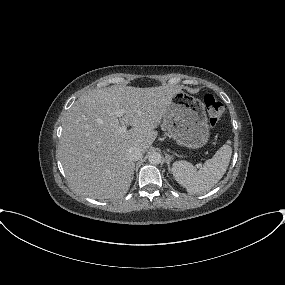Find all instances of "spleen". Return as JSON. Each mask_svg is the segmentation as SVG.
I'll return each mask as SVG.
<instances>
[{"mask_svg": "<svg viewBox=\"0 0 285 285\" xmlns=\"http://www.w3.org/2000/svg\"><path fill=\"white\" fill-rule=\"evenodd\" d=\"M231 155L232 148L230 141H227L198 171L189 162L178 161L173 164L172 173L189 194H203L210 191L223 177Z\"/></svg>", "mask_w": 285, "mask_h": 285, "instance_id": "obj_1", "label": "spleen"}]
</instances>
